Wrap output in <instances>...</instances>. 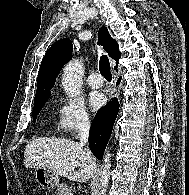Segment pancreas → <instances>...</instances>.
<instances>
[{"instance_id": "cf45deb5", "label": "pancreas", "mask_w": 189, "mask_h": 195, "mask_svg": "<svg viewBox=\"0 0 189 195\" xmlns=\"http://www.w3.org/2000/svg\"><path fill=\"white\" fill-rule=\"evenodd\" d=\"M70 188L66 184H59L57 187V195H68Z\"/></svg>"}]
</instances>
